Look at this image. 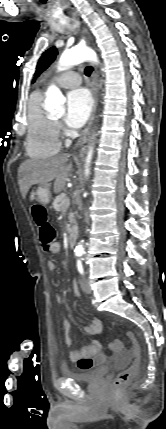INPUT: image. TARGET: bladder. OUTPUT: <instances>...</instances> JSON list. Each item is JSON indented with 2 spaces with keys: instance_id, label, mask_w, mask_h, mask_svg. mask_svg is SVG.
<instances>
[{
  "instance_id": "obj_1",
  "label": "bladder",
  "mask_w": 166,
  "mask_h": 429,
  "mask_svg": "<svg viewBox=\"0 0 166 429\" xmlns=\"http://www.w3.org/2000/svg\"><path fill=\"white\" fill-rule=\"evenodd\" d=\"M108 372V366H100L86 372L72 369L63 370V374L77 383H92L103 378Z\"/></svg>"
}]
</instances>
